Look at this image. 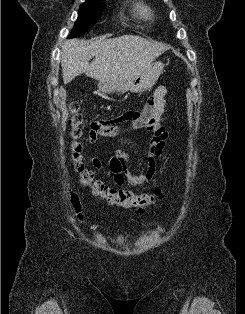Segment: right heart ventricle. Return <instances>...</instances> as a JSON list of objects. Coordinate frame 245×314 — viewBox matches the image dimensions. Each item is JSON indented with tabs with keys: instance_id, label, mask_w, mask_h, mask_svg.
<instances>
[{
	"instance_id": "1",
	"label": "right heart ventricle",
	"mask_w": 245,
	"mask_h": 314,
	"mask_svg": "<svg viewBox=\"0 0 245 314\" xmlns=\"http://www.w3.org/2000/svg\"><path fill=\"white\" fill-rule=\"evenodd\" d=\"M134 12L136 13V15L146 19H149L152 16V10L150 6L144 3L138 4L135 7Z\"/></svg>"
}]
</instances>
